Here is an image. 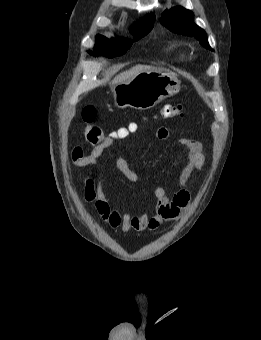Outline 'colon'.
<instances>
[{
    "label": "colon",
    "mask_w": 261,
    "mask_h": 340,
    "mask_svg": "<svg viewBox=\"0 0 261 340\" xmlns=\"http://www.w3.org/2000/svg\"><path fill=\"white\" fill-rule=\"evenodd\" d=\"M160 114L166 119L181 117L183 116V107L181 105L166 104L161 109ZM96 115V109L92 105H86L81 112L86 140L94 145L100 144L105 138L103 130L95 123Z\"/></svg>",
    "instance_id": "5ec220e1"
}]
</instances>
